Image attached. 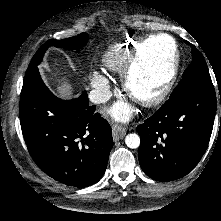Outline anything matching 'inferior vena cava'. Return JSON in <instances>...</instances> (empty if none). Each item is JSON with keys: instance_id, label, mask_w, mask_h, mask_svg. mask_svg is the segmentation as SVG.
I'll use <instances>...</instances> for the list:
<instances>
[{"instance_id": "inferior-vena-cava-1", "label": "inferior vena cava", "mask_w": 221, "mask_h": 221, "mask_svg": "<svg viewBox=\"0 0 221 221\" xmlns=\"http://www.w3.org/2000/svg\"><path fill=\"white\" fill-rule=\"evenodd\" d=\"M111 97V92L105 88H96L90 91L89 99L95 104L104 103Z\"/></svg>"}]
</instances>
